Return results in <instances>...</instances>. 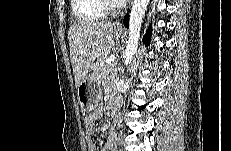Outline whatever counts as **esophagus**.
<instances>
[{
  "instance_id": "obj_1",
  "label": "esophagus",
  "mask_w": 231,
  "mask_h": 151,
  "mask_svg": "<svg viewBox=\"0 0 231 151\" xmlns=\"http://www.w3.org/2000/svg\"><path fill=\"white\" fill-rule=\"evenodd\" d=\"M118 28H122V26H121V25H119V26H118Z\"/></svg>"
}]
</instances>
